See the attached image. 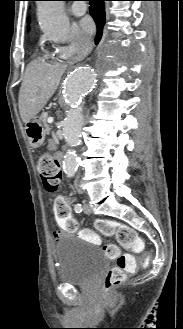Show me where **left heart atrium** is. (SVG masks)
<instances>
[{
  "instance_id": "39dd6f15",
  "label": "left heart atrium",
  "mask_w": 183,
  "mask_h": 329,
  "mask_svg": "<svg viewBox=\"0 0 183 329\" xmlns=\"http://www.w3.org/2000/svg\"><path fill=\"white\" fill-rule=\"evenodd\" d=\"M81 26H82L83 31L87 34L93 33L94 28H95L94 23L90 18H84L81 21Z\"/></svg>"
}]
</instances>
